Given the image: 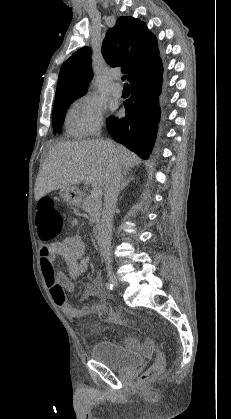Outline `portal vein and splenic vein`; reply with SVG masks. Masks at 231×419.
<instances>
[{"mask_svg":"<svg viewBox=\"0 0 231 419\" xmlns=\"http://www.w3.org/2000/svg\"><path fill=\"white\" fill-rule=\"evenodd\" d=\"M91 196L94 198H100L102 196V189L100 186H94L91 191Z\"/></svg>","mask_w":231,"mask_h":419,"instance_id":"1","label":"portal vein and splenic vein"}]
</instances>
